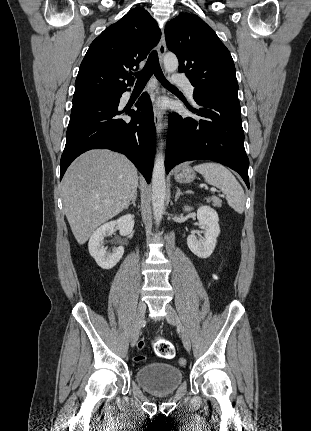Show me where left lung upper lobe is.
I'll return each instance as SVG.
<instances>
[{
    "label": "left lung upper lobe",
    "instance_id": "left-lung-upper-lobe-1",
    "mask_svg": "<svg viewBox=\"0 0 311 431\" xmlns=\"http://www.w3.org/2000/svg\"><path fill=\"white\" fill-rule=\"evenodd\" d=\"M166 44L177 55L179 72L195 87L194 98L211 94L237 95L235 66L229 50L197 15L180 13L166 24Z\"/></svg>",
    "mask_w": 311,
    "mask_h": 431
}]
</instances>
